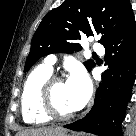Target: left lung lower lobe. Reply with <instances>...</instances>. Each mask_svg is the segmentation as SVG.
Wrapping results in <instances>:
<instances>
[{"label": "left lung lower lobe", "mask_w": 136, "mask_h": 136, "mask_svg": "<svg viewBox=\"0 0 136 136\" xmlns=\"http://www.w3.org/2000/svg\"><path fill=\"white\" fill-rule=\"evenodd\" d=\"M102 45L109 69L96 91L94 106L84 118L64 127L98 136H121V123L135 79L136 25L132 10Z\"/></svg>", "instance_id": "obj_1"}]
</instances>
